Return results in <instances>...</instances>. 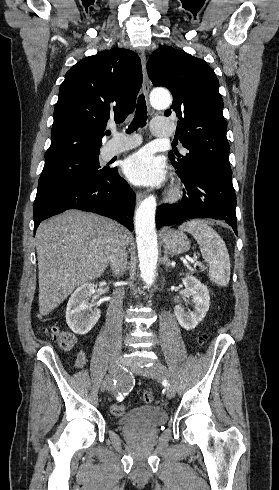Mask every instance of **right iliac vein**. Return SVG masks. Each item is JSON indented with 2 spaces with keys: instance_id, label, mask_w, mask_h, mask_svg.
Returning <instances> with one entry per match:
<instances>
[{
  "instance_id": "63e3f726",
  "label": "right iliac vein",
  "mask_w": 279,
  "mask_h": 490,
  "mask_svg": "<svg viewBox=\"0 0 279 490\" xmlns=\"http://www.w3.org/2000/svg\"><path fill=\"white\" fill-rule=\"evenodd\" d=\"M119 369V362L115 356H112L109 364V375L105 377L103 385L101 386V391H105L106 389H111V384L114 379V375L117 373Z\"/></svg>"
}]
</instances>
